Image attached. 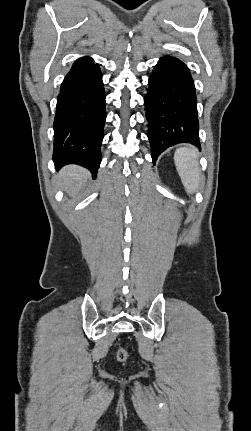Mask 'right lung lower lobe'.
<instances>
[{"label": "right lung lower lobe", "instance_id": "1", "mask_svg": "<svg viewBox=\"0 0 251 431\" xmlns=\"http://www.w3.org/2000/svg\"><path fill=\"white\" fill-rule=\"evenodd\" d=\"M106 119L99 66L89 57L75 61L64 78L54 120L53 161L56 169L78 164L96 177Z\"/></svg>", "mask_w": 251, "mask_h": 431}]
</instances>
